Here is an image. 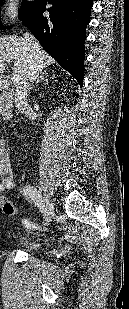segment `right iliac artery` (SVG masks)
Here are the masks:
<instances>
[{"instance_id": "82829eb1", "label": "right iliac artery", "mask_w": 129, "mask_h": 309, "mask_svg": "<svg viewBox=\"0 0 129 309\" xmlns=\"http://www.w3.org/2000/svg\"><path fill=\"white\" fill-rule=\"evenodd\" d=\"M25 195H28L34 202L35 204L38 206V208L40 209V211L42 213H44V215L46 216V210H44V205L41 203V199H40V195L36 193V191H33L30 187L26 189ZM38 228L35 224H27V228Z\"/></svg>"}]
</instances>
